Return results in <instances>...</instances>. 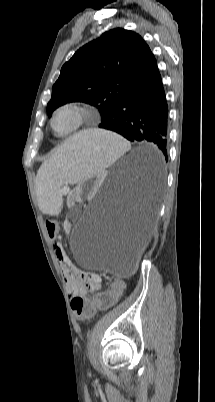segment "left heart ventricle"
<instances>
[{"instance_id":"left-heart-ventricle-1","label":"left heart ventricle","mask_w":215,"mask_h":402,"mask_svg":"<svg viewBox=\"0 0 215 402\" xmlns=\"http://www.w3.org/2000/svg\"><path fill=\"white\" fill-rule=\"evenodd\" d=\"M74 117L69 113L60 114L55 121V128L58 132H65L72 127Z\"/></svg>"}]
</instances>
